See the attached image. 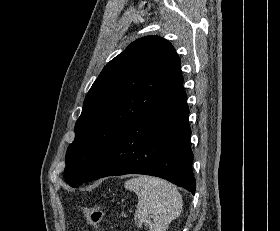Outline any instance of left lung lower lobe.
<instances>
[{"instance_id": "0a47b994", "label": "left lung lower lobe", "mask_w": 280, "mask_h": 231, "mask_svg": "<svg viewBox=\"0 0 280 231\" xmlns=\"http://www.w3.org/2000/svg\"><path fill=\"white\" fill-rule=\"evenodd\" d=\"M186 101L181 83L114 140L85 182L114 175L145 174L166 179L194 194Z\"/></svg>"}]
</instances>
